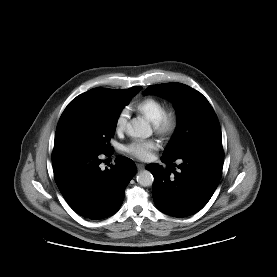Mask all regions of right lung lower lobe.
Masks as SVG:
<instances>
[{
    "mask_svg": "<svg viewBox=\"0 0 277 277\" xmlns=\"http://www.w3.org/2000/svg\"><path fill=\"white\" fill-rule=\"evenodd\" d=\"M101 152L54 145L52 165L56 184L69 206L89 219L105 218L121 206L125 188L136 173L134 162L124 156L101 170ZM106 154H109L106 153Z\"/></svg>",
    "mask_w": 277,
    "mask_h": 277,
    "instance_id": "98d812e1",
    "label": "right lung lower lobe"
}]
</instances>
